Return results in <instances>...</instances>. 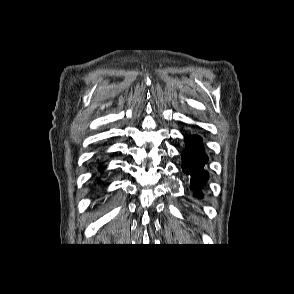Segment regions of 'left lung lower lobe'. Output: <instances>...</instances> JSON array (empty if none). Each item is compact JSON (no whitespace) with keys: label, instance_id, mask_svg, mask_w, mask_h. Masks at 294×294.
Returning a JSON list of instances; mask_svg holds the SVG:
<instances>
[{"label":"left lung lower lobe","instance_id":"left-lung-lower-lobe-1","mask_svg":"<svg viewBox=\"0 0 294 294\" xmlns=\"http://www.w3.org/2000/svg\"><path fill=\"white\" fill-rule=\"evenodd\" d=\"M185 141L187 147L182 153V169L191 176V187L200 189L208 179V173L204 170L208 158L204 153L203 140L199 136L190 135L185 137ZM197 195L202 197L200 191Z\"/></svg>","mask_w":294,"mask_h":294}]
</instances>
